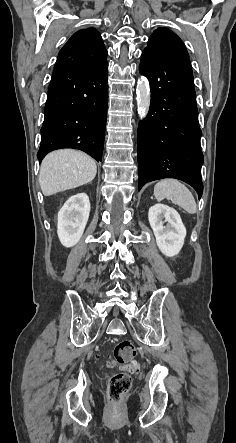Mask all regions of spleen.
Wrapping results in <instances>:
<instances>
[{
  "label": "spleen",
  "instance_id": "1",
  "mask_svg": "<svg viewBox=\"0 0 236 443\" xmlns=\"http://www.w3.org/2000/svg\"><path fill=\"white\" fill-rule=\"evenodd\" d=\"M154 196L158 201L164 198L182 207L187 213L194 214L197 205L193 194L181 182L175 179H164L154 186Z\"/></svg>",
  "mask_w": 236,
  "mask_h": 443
}]
</instances>
